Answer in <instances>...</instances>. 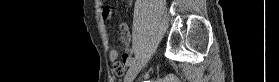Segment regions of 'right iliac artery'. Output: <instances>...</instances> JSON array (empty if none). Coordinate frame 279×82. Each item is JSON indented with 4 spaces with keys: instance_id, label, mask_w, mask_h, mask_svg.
Wrapping results in <instances>:
<instances>
[{
    "instance_id": "1",
    "label": "right iliac artery",
    "mask_w": 279,
    "mask_h": 82,
    "mask_svg": "<svg viewBox=\"0 0 279 82\" xmlns=\"http://www.w3.org/2000/svg\"><path fill=\"white\" fill-rule=\"evenodd\" d=\"M136 62V59H133L132 62L129 64L130 67L134 66Z\"/></svg>"
}]
</instances>
